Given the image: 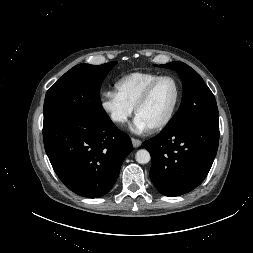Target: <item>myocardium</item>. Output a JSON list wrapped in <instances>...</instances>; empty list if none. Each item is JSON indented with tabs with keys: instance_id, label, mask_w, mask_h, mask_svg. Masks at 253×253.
<instances>
[{
	"instance_id": "myocardium-1",
	"label": "myocardium",
	"mask_w": 253,
	"mask_h": 253,
	"mask_svg": "<svg viewBox=\"0 0 253 253\" xmlns=\"http://www.w3.org/2000/svg\"><path fill=\"white\" fill-rule=\"evenodd\" d=\"M165 79H171L175 83V86H176L175 101L172 105V108H171L168 116L162 122H160L156 126L150 128L151 132H159V131L163 130L172 122L173 118L175 117V114L178 110V107H179V104L181 101V96H182L181 85H180V82L178 81V79L173 75L159 76L145 89V91L143 92V94L141 95V97L139 98V100L137 101V103L134 107V113H135V116L137 117L139 110L148 102V100L150 99V97H151L153 91L155 90V88L157 87V85Z\"/></svg>"
}]
</instances>
